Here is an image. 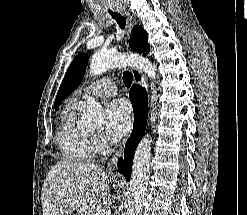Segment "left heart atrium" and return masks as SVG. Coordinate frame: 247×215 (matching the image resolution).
<instances>
[{
    "label": "left heart atrium",
    "instance_id": "obj_1",
    "mask_svg": "<svg viewBox=\"0 0 247 215\" xmlns=\"http://www.w3.org/2000/svg\"><path fill=\"white\" fill-rule=\"evenodd\" d=\"M130 128V107L124 99L114 100L106 109V130L115 139L123 137Z\"/></svg>",
    "mask_w": 247,
    "mask_h": 215
}]
</instances>
